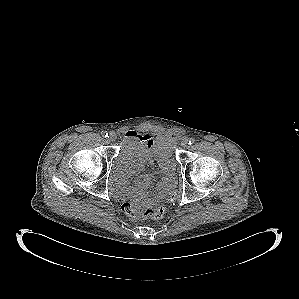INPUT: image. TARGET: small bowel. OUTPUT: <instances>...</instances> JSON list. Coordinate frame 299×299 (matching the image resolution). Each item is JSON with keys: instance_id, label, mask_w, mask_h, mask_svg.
Masks as SVG:
<instances>
[{"instance_id": "small-bowel-1", "label": "small bowel", "mask_w": 299, "mask_h": 299, "mask_svg": "<svg viewBox=\"0 0 299 299\" xmlns=\"http://www.w3.org/2000/svg\"><path fill=\"white\" fill-rule=\"evenodd\" d=\"M126 138L135 139L139 143V150L128 159V166L131 172L134 174H139L144 170L145 165H151L154 163V158L151 153V148L155 137L150 134H138L135 131H129L126 133ZM159 168L164 174L162 180L158 183L156 187V192L154 194V200L160 201L163 199L168 192L175 185V175H174V162L166 158L157 160ZM153 174L143 175L135 184L134 187H130L127 180L122 182L123 193L128 198H135L138 195L144 194L148 191Z\"/></svg>"}]
</instances>
